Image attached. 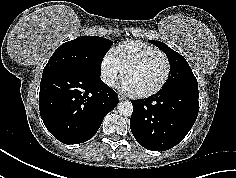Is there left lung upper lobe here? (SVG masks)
I'll return each instance as SVG.
<instances>
[{
    "mask_svg": "<svg viewBox=\"0 0 236 178\" xmlns=\"http://www.w3.org/2000/svg\"><path fill=\"white\" fill-rule=\"evenodd\" d=\"M150 43L159 47L167 55L171 66L170 76L163 88H198L197 80L182 55L162 42L150 40Z\"/></svg>",
    "mask_w": 236,
    "mask_h": 178,
    "instance_id": "5c2ea615",
    "label": "left lung upper lobe"
}]
</instances>
